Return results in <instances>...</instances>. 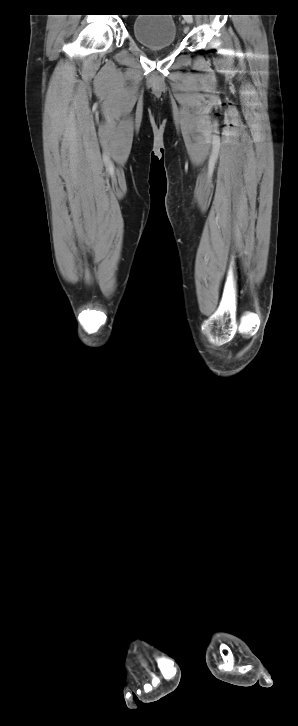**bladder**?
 Masks as SVG:
<instances>
[{
  "instance_id": "obj_1",
  "label": "bladder",
  "mask_w": 298,
  "mask_h": 726,
  "mask_svg": "<svg viewBox=\"0 0 298 726\" xmlns=\"http://www.w3.org/2000/svg\"><path fill=\"white\" fill-rule=\"evenodd\" d=\"M151 15L158 17L152 18ZM134 38L149 49L172 47L177 40V26L169 14H138L132 23Z\"/></svg>"
}]
</instances>
